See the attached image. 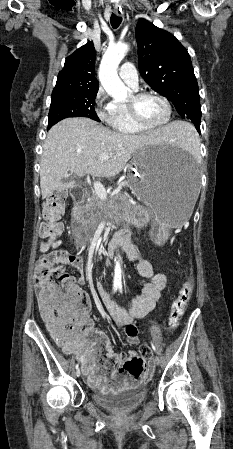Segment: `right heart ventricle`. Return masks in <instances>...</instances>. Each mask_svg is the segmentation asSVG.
Returning <instances> with one entry per match:
<instances>
[{
  "mask_svg": "<svg viewBox=\"0 0 233 449\" xmlns=\"http://www.w3.org/2000/svg\"><path fill=\"white\" fill-rule=\"evenodd\" d=\"M108 122L115 131L126 135L140 134L145 131L133 122L126 104L122 102H114Z\"/></svg>",
  "mask_w": 233,
  "mask_h": 449,
  "instance_id": "right-heart-ventricle-1",
  "label": "right heart ventricle"
}]
</instances>
